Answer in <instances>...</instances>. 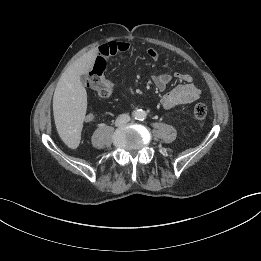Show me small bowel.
Here are the masks:
<instances>
[{"label":"small bowel","mask_w":261,"mask_h":261,"mask_svg":"<svg viewBox=\"0 0 261 261\" xmlns=\"http://www.w3.org/2000/svg\"><path fill=\"white\" fill-rule=\"evenodd\" d=\"M129 50L130 44L127 41H110L104 43L99 47L95 64L97 62H102L106 65V60L108 58L119 54H124ZM146 54L152 61L156 62L159 60V53L154 48H147ZM173 78L178 79L180 83L162 95L160 103L164 109H172L177 106L191 104L199 98L200 90L192 82V77L189 74L179 72L174 75L168 73H157L153 75L152 80L157 90L164 92ZM107 82L113 92L115 89L114 83L108 80ZM84 121L86 123L93 122L94 115L92 113L86 114L84 116Z\"/></svg>","instance_id":"small-bowel-1"}]
</instances>
